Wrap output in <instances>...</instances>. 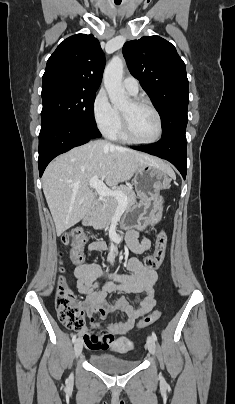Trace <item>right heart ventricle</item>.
<instances>
[{"label":"right heart ventricle","mask_w":235,"mask_h":404,"mask_svg":"<svg viewBox=\"0 0 235 404\" xmlns=\"http://www.w3.org/2000/svg\"><path fill=\"white\" fill-rule=\"evenodd\" d=\"M108 136L113 140H118L121 142L127 141V139L124 137L123 132H122L121 118L119 119V122H118L116 128L114 129V131L111 134H109Z\"/></svg>","instance_id":"obj_1"}]
</instances>
